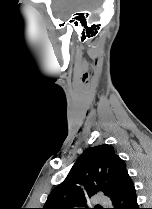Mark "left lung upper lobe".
Segmentation results:
<instances>
[{
	"label": "left lung upper lobe",
	"instance_id": "obj_1",
	"mask_svg": "<svg viewBox=\"0 0 152 209\" xmlns=\"http://www.w3.org/2000/svg\"><path fill=\"white\" fill-rule=\"evenodd\" d=\"M129 177L125 162L111 145L88 148L66 179L50 193L43 209H88L89 197L102 191L111 199Z\"/></svg>",
	"mask_w": 152,
	"mask_h": 209
}]
</instances>
